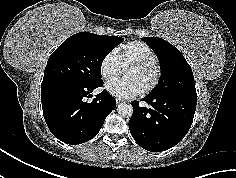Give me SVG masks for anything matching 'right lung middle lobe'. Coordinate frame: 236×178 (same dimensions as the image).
<instances>
[{"instance_id":"obj_1","label":"right lung middle lobe","mask_w":236,"mask_h":178,"mask_svg":"<svg viewBox=\"0 0 236 178\" xmlns=\"http://www.w3.org/2000/svg\"><path fill=\"white\" fill-rule=\"evenodd\" d=\"M123 40L117 36L87 32L72 35L49 57L42 83L63 81L77 85H101L102 62Z\"/></svg>"}]
</instances>
